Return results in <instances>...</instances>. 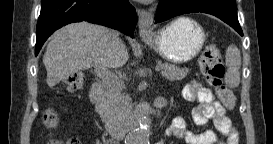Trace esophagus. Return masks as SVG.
I'll return each mask as SVG.
<instances>
[{
	"instance_id": "34e87169",
	"label": "esophagus",
	"mask_w": 273,
	"mask_h": 144,
	"mask_svg": "<svg viewBox=\"0 0 273 144\" xmlns=\"http://www.w3.org/2000/svg\"><path fill=\"white\" fill-rule=\"evenodd\" d=\"M138 19V28L140 36H148L152 33L153 14L147 10H140Z\"/></svg>"
}]
</instances>
